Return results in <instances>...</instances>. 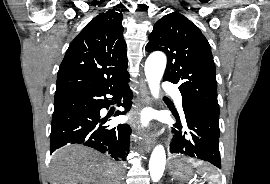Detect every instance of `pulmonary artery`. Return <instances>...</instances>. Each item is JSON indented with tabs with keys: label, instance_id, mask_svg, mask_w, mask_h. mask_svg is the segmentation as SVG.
I'll list each match as a JSON object with an SVG mask.
<instances>
[{
	"label": "pulmonary artery",
	"instance_id": "obj_1",
	"mask_svg": "<svg viewBox=\"0 0 270 184\" xmlns=\"http://www.w3.org/2000/svg\"><path fill=\"white\" fill-rule=\"evenodd\" d=\"M164 89L168 93L172 94L177 105L179 107H182V96H181L179 90L177 89V87L175 85H173L172 83L167 82L164 84Z\"/></svg>",
	"mask_w": 270,
	"mask_h": 184
}]
</instances>
